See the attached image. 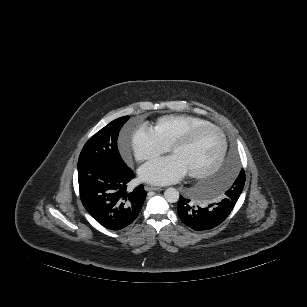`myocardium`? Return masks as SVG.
I'll return each instance as SVG.
<instances>
[{"label": "myocardium", "instance_id": "obj_1", "mask_svg": "<svg viewBox=\"0 0 307 307\" xmlns=\"http://www.w3.org/2000/svg\"><path fill=\"white\" fill-rule=\"evenodd\" d=\"M206 129H213L217 131V133L220 135L221 141H222L221 150L212 168L204 170V171H199V172H190L188 173V176L191 178H196V179L205 178V177L211 176L212 174H214L220 169V167L222 166L225 160V157L228 151V140H227V137L224 131L218 125L210 123V122L207 124L194 126L190 128L187 132H185L184 134L176 138L169 145V148H168L169 152L172 153L176 148L190 144L201 131L206 130Z\"/></svg>", "mask_w": 307, "mask_h": 307}]
</instances>
